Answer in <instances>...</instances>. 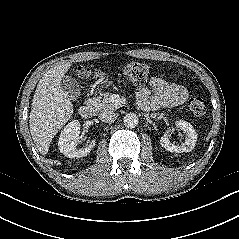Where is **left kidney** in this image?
Here are the masks:
<instances>
[{"mask_svg":"<svg viewBox=\"0 0 239 239\" xmlns=\"http://www.w3.org/2000/svg\"><path fill=\"white\" fill-rule=\"evenodd\" d=\"M176 127L185 133V142L181 145L171 143L168 137L171 129L168 128L165 131L164 135L161 137L160 144L170 152L182 153L192 151L197 141V135L193 126L186 121L179 120L176 122Z\"/></svg>","mask_w":239,"mask_h":239,"instance_id":"5707ae66","label":"left kidney"}]
</instances>
